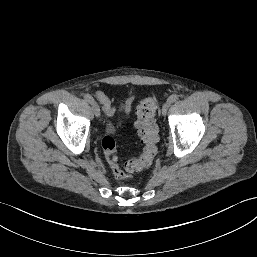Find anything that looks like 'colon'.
<instances>
[{
  "mask_svg": "<svg viewBox=\"0 0 257 257\" xmlns=\"http://www.w3.org/2000/svg\"><path fill=\"white\" fill-rule=\"evenodd\" d=\"M155 111L156 102L151 97L142 100L137 108L136 127L143 145L139 157L130 158L121 163L115 140L111 136L103 138V152L116 179L125 180L127 173L139 172L152 165L158 152L157 143L159 140Z\"/></svg>",
  "mask_w": 257,
  "mask_h": 257,
  "instance_id": "obj_1",
  "label": "colon"
}]
</instances>
